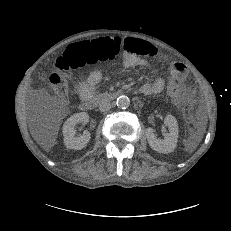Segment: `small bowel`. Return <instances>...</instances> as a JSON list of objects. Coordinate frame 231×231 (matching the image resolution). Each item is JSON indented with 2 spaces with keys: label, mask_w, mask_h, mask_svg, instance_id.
<instances>
[{
  "label": "small bowel",
  "mask_w": 231,
  "mask_h": 231,
  "mask_svg": "<svg viewBox=\"0 0 231 231\" xmlns=\"http://www.w3.org/2000/svg\"><path fill=\"white\" fill-rule=\"evenodd\" d=\"M122 46L124 53L121 58V62L126 67H148L150 63L146 56L158 57V50L149 42L128 37L122 40ZM163 65L166 69L170 70L171 75L180 83H184L187 79V71L184 64L178 63L171 56L164 59ZM102 80V73L99 70H95L78 85V92L82 99L92 98L95 93L96 86ZM164 89V81L160 78L155 79L152 82L144 83L140 91L145 95H154L162 92Z\"/></svg>",
  "instance_id": "obj_1"
}]
</instances>
